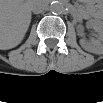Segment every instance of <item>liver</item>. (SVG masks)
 I'll return each instance as SVG.
<instances>
[{
    "mask_svg": "<svg viewBox=\"0 0 103 103\" xmlns=\"http://www.w3.org/2000/svg\"><path fill=\"white\" fill-rule=\"evenodd\" d=\"M30 1L6 0L1 2L0 47L8 50L19 45L31 22Z\"/></svg>",
    "mask_w": 103,
    "mask_h": 103,
    "instance_id": "1",
    "label": "liver"
}]
</instances>
